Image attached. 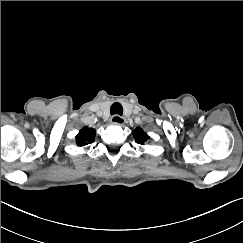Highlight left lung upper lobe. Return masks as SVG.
Returning <instances> with one entry per match:
<instances>
[{"label":"left lung upper lobe","mask_w":243,"mask_h":243,"mask_svg":"<svg viewBox=\"0 0 243 243\" xmlns=\"http://www.w3.org/2000/svg\"><path fill=\"white\" fill-rule=\"evenodd\" d=\"M132 134L139 144H144L150 138L141 128H136Z\"/></svg>","instance_id":"1"}]
</instances>
